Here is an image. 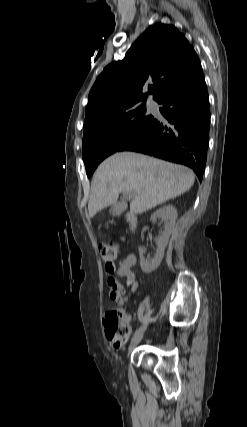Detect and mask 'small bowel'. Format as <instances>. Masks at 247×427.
I'll use <instances>...</instances> for the list:
<instances>
[{
    "label": "small bowel",
    "instance_id": "obj_1",
    "mask_svg": "<svg viewBox=\"0 0 247 427\" xmlns=\"http://www.w3.org/2000/svg\"><path fill=\"white\" fill-rule=\"evenodd\" d=\"M136 264V255L129 253L119 264L114 262L107 263L104 267L108 275L107 283L110 289V298L117 305L122 306L126 301V287L130 292L136 291L138 288V278L133 271V266ZM124 278L126 283H122L114 275ZM128 322L131 321V316H126Z\"/></svg>",
    "mask_w": 247,
    "mask_h": 427
}]
</instances>
